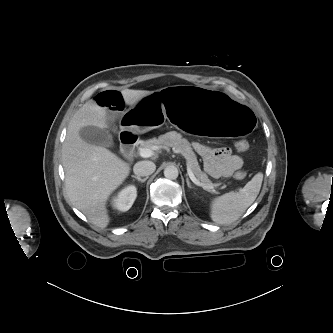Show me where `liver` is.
Listing matches in <instances>:
<instances>
[{"label":"liver","instance_id":"6515ba94","mask_svg":"<svg viewBox=\"0 0 333 333\" xmlns=\"http://www.w3.org/2000/svg\"><path fill=\"white\" fill-rule=\"evenodd\" d=\"M151 91H121L125 104L134 105ZM106 108L90 100L71 119L62 147L65 171V194L71 204L83 212L96 226L105 228L110 221L106 203L109 195L129 175L130 166L103 146L84 141L82 128L108 127Z\"/></svg>","mask_w":333,"mask_h":333}]
</instances>
